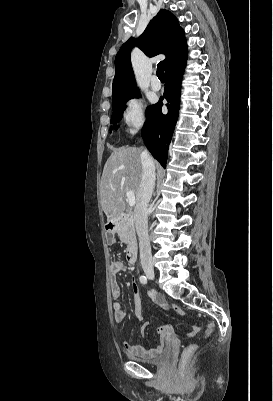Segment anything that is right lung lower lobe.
I'll return each instance as SVG.
<instances>
[{"label":"right lung lower lobe","mask_w":273,"mask_h":401,"mask_svg":"<svg viewBox=\"0 0 273 401\" xmlns=\"http://www.w3.org/2000/svg\"><path fill=\"white\" fill-rule=\"evenodd\" d=\"M186 65V59L166 72L164 98L168 101V113L163 114L162 98L152 105L148 124L142 129L145 144L153 157L165 167L168 147L176 125L180 106L181 81Z\"/></svg>","instance_id":"right-lung-lower-lobe-1"}]
</instances>
